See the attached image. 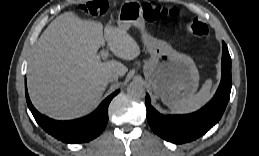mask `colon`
I'll list each match as a JSON object with an SVG mask.
<instances>
[{
	"label": "colon",
	"mask_w": 259,
	"mask_h": 156,
	"mask_svg": "<svg viewBox=\"0 0 259 156\" xmlns=\"http://www.w3.org/2000/svg\"><path fill=\"white\" fill-rule=\"evenodd\" d=\"M109 8V4L106 0H94L87 2L80 6V11L83 14L98 17L104 15ZM145 17L149 21H155L161 16L159 6L156 4L148 3L145 5ZM188 31L195 37L203 38L208 34L207 25L200 21L194 20L187 26Z\"/></svg>",
	"instance_id": "5ec220e1"
}]
</instances>
